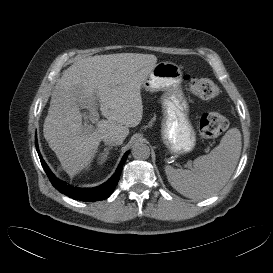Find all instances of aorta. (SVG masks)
Returning a JSON list of instances; mask_svg holds the SVG:
<instances>
[{
  "mask_svg": "<svg viewBox=\"0 0 273 273\" xmlns=\"http://www.w3.org/2000/svg\"><path fill=\"white\" fill-rule=\"evenodd\" d=\"M131 153L135 159L145 160L150 156V148L148 145L138 142L134 144Z\"/></svg>",
  "mask_w": 273,
  "mask_h": 273,
  "instance_id": "1",
  "label": "aorta"
}]
</instances>
